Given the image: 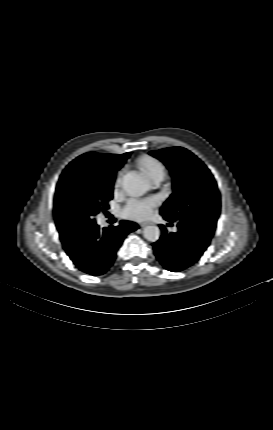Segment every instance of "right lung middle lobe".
Instances as JSON below:
<instances>
[{
    "instance_id": "obj_1",
    "label": "right lung middle lobe",
    "mask_w": 273,
    "mask_h": 430,
    "mask_svg": "<svg viewBox=\"0 0 273 430\" xmlns=\"http://www.w3.org/2000/svg\"><path fill=\"white\" fill-rule=\"evenodd\" d=\"M114 175L94 176L68 165L57 184L54 217L60 238L75 239L113 198Z\"/></svg>"
}]
</instances>
